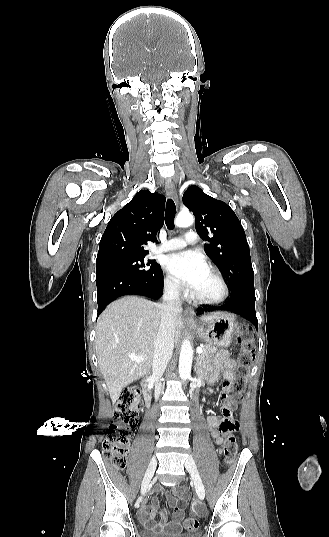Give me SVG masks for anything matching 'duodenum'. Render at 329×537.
<instances>
[{
    "label": "duodenum",
    "instance_id": "obj_1",
    "mask_svg": "<svg viewBox=\"0 0 329 537\" xmlns=\"http://www.w3.org/2000/svg\"><path fill=\"white\" fill-rule=\"evenodd\" d=\"M143 395H144L145 404L147 407H149L150 402H151V390H150L149 383L147 380H144L143 382Z\"/></svg>",
    "mask_w": 329,
    "mask_h": 537
}]
</instances>
